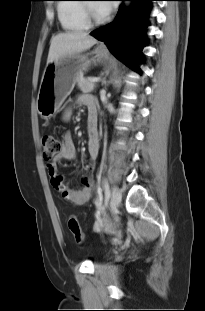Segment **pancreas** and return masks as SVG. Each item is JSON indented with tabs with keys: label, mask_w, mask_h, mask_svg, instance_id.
<instances>
[{
	"label": "pancreas",
	"mask_w": 205,
	"mask_h": 311,
	"mask_svg": "<svg viewBox=\"0 0 205 311\" xmlns=\"http://www.w3.org/2000/svg\"><path fill=\"white\" fill-rule=\"evenodd\" d=\"M77 86L83 93L92 92L96 85L90 79L83 78L81 75L76 78Z\"/></svg>",
	"instance_id": "pancreas-1"
}]
</instances>
